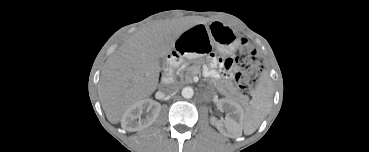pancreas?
<instances>
[{"mask_svg":"<svg viewBox=\"0 0 369 152\" xmlns=\"http://www.w3.org/2000/svg\"><path fill=\"white\" fill-rule=\"evenodd\" d=\"M199 72H200V67H195V68H191L188 73H191V74L195 75ZM186 78H188V77L186 76ZM220 91H221L222 94H224L227 98H229L232 101H238L243 97L242 94H239L234 89H231V91H229V92L224 90V89H220Z\"/></svg>","mask_w":369,"mask_h":152,"instance_id":"cf45deb5","label":"pancreas"}]
</instances>
